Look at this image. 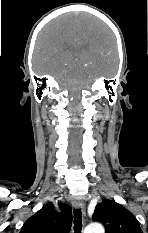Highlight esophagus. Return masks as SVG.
<instances>
[{
    "label": "esophagus",
    "instance_id": "esophagus-1",
    "mask_svg": "<svg viewBox=\"0 0 148 233\" xmlns=\"http://www.w3.org/2000/svg\"><path fill=\"white\" fill-rule=\"evenodd\" d=\"M74 207L77 209H81L82 212L85 214V203L81 199L74 200Z\"/></svg>",
    "mask_w": 148,
    "mask_h": 233
}]
</instances>
